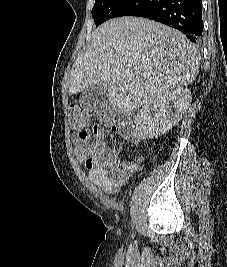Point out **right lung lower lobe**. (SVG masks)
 Wrapping results in <instances>:
<instances>
[{
  "label": "right lung lower lobe",
  "instance_id": "1",
  "mask_svg": "<svg viewBox=\"0 0 227 267\" xmlns=\"http://www.w3.org/2000/svg\"><path fill=\"white\" fill-rule=\"evenodd\" d=\"M145 17L172 26L194 43L203 31L202 0H129L113 16Z\"/></svg>",
  "mask_w": 227,
  "mask_h": 267
}]
</instances>
